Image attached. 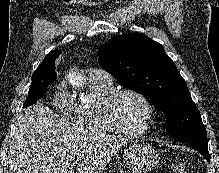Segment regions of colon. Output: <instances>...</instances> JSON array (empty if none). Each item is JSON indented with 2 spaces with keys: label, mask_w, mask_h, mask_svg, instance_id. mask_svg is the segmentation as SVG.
<instances>
[{
  "label": "colon",
  "mask_w": 219,
  "mask_h": 173,
  "mask_svg": "<svg viewBox=\"0 0 219 173\" xmlns=\"http://www.w3.org/2000/svg\"><path fill=\"white\" fill-rule=\"evenodd\" d=\"M172 173H186V168L182 163H175L172 167Z\"/></svg>",
  "instance_id": "1"
}]
</instances>
